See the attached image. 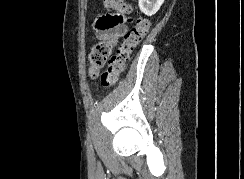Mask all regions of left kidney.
I'll use <instances>...</instances> for the list:
<instances>
[{"label":"left kidney","instance_id":"left-kidney-1","mask_svg":"<svg viewBox=\"0 0 244 179\" xmlns=\"http://www.w3.org/2000/svg\"><path fill=\"white\" fill-rule=\"evenodd\" d=\"M164 0H139L138 6L146 16H154L161 8Z\"/></svg>","mask_w":244,"mask_h":179}]
</instances>
